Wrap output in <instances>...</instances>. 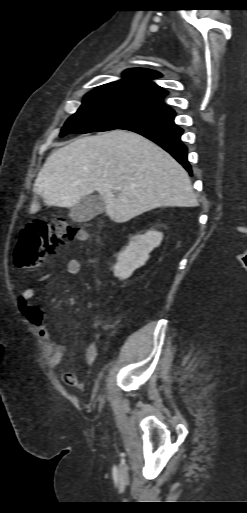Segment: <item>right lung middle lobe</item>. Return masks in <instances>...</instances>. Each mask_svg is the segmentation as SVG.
I'll use <instances>...</instances> for the list:
<instances>
[{
  "mask_svg": "<svg viewBox=\"0 0 247 513\" xmlns=\"http://www.w3.org/2000/svg\"><path fill=\"white\" fill-rule=\"evenodd\" d=\"M173 112L168 106L149 103L129 92L96 88L87 93L78 111L63 126L60 137L121 129L123 126Z\"/></svg>",
  "mask_w": 247,
  "mask_h": 513,
  "instance_id": "dd1d6c3e",
  "label": "right lung middle lobe"
}]
</instances>
